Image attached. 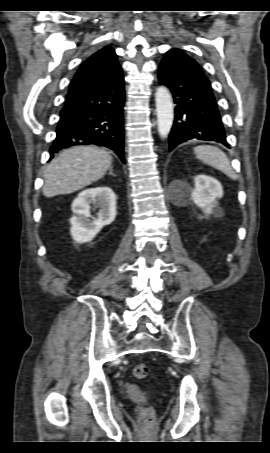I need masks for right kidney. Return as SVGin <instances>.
Here are the masks:
<instances>
[{"label":"right kidney","mask_w":270,"mask_h":453,"mask_svg":"<svg viewBox=\"0 0 270 453\" xmlns=\"http://www.w3.org/2000/svg\"><path fill=\"white\" fill-rule=\"evenodd\" d=\"M91 204L100 208L97 218L91 217ZM71 209V236L77 243L90 242L100 230L116 217V196L109 187L90 188L78 194ZM92 218V220L90 219Z\"/></svg>","instance_id":"ca27d5eb"}]
</instances>
